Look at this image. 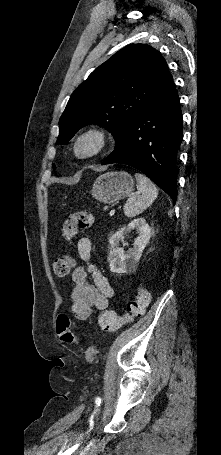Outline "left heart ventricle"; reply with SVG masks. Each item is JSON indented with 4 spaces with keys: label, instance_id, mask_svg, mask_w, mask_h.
I'll list each match as a JSON object with an SVG mask.
<instances>
[{
    "label": "left heart ventricle",
    "instance_id": "1",
    "mask_svg": "<svg viewBox=\"0 0 221 455\" xmlns=\"http://www.w3.org/2000/svg\"><path fill=\"white\" fill-rule=\"evenodd\" d=\"M88 148H89V145H85V146L83 147V150L85 151V150H87Z\"/></svg>",
    "mask_w": 221,
    "mask_h": 455
}]
</instances>
